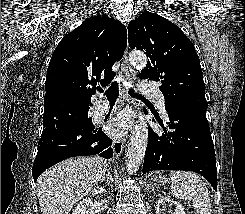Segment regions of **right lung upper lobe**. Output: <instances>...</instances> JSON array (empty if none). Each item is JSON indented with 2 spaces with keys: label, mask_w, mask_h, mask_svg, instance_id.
Returning <instances> with one entry per match:
<instances>
[{
  "label": "right lung upper lobe",
  "mask_w": 245,
  "mask_h": 214,
  "mask_svg": "<svg viewBox=\"0 0 245 214\" xmlns=\"http://www.w3.org/2000/svg\"><path fill=\"white\" fill-rule=\"evenodd\" d=\"M126 28L114 18L96 15L65 35L47 69L43 124L76 117L91 105L97 83L106 86L127 46Z\"/></svg>",
  "instance_id": "1"
}]
</instances>
